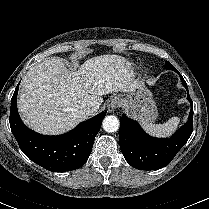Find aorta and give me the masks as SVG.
Masks as SVG:
<instances>
[{"label":"aorta","mask_w":209,"mask_h":209,"mask_svg":"<svg viewBox=\"0 0 209 209\" xmlns=\"http://www.w3.org/2000/svg\"><path fill=\"white\" fill-rule=\"evenodd\" d=\"M102 126L106 132L112 133L116 132L119 129L120 122L116 116L109 115L103 119Z\"/></svg>","instance_id":"762f6f07"}]
</instances>
